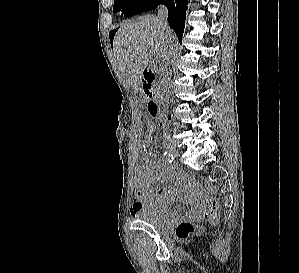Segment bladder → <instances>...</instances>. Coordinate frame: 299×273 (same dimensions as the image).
Segmentation results:
<instances>
[{
  "instance_id": "1",
  "label": "bladder",
  "mask_w": 299,
  "mask_h": 273,
  "mask_svg": "<svg viewBox=\"0 0 299 273\" xmlns=\"http://www.w3.org/2000/svg\"><path fill=\"white\" fill-rule=\"evenodd\" d=\"M137 219L156 230H165L170 227L178 217L176 215H158L148 210H142L137 214Z\"/></svg>"
}]
</instances>
